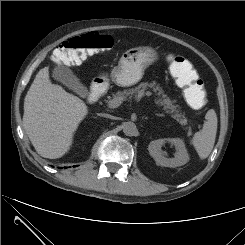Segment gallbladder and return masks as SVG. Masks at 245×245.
Here are the masks:
<instances>
[{
  "label": "gallbladder",
  "instance_id": "gallbladder-1",
  "mask_svg": "<svg viewBox=\"0 0 245 245\" xmlns=\"http://www.w3.org/2000/svg\"><path fill=\"white\" fill-rule=\"evenodd\" d=\"M53 78L76 94L82 97L87 95V88L80 82L79 78L67 66H57L53 71Z\"/></svg>",
  "mask_w": 245,
  "mask_h": 245
}]
</instances>
